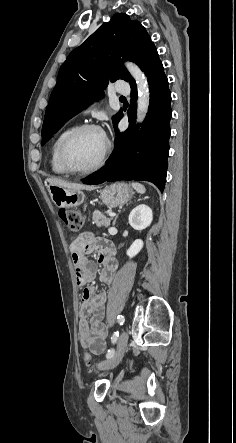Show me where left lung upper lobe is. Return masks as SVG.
<instances>
[{
    "instance_id": "left-lung-upper-lobe-1",
    "label": "left lung upper lobe",
    "mask_w": 236,
    "mask_h": 443,
    "mask_svg": "<svg viewBox=\"0 0 236 443\" xmlns=\"http://www.w3.org/2000/svg\"><path fill=\"white\" fill-rule=\"evenodd\" d=\"M154 44L138 21L116 13L84 43L73 50L60 67L42 126V142L55 134L66 121L103 95L108 82H131L120 59L135 62L141 69ZM113 117V124L119 115Z\"/></svg>"
}]
</instances>
